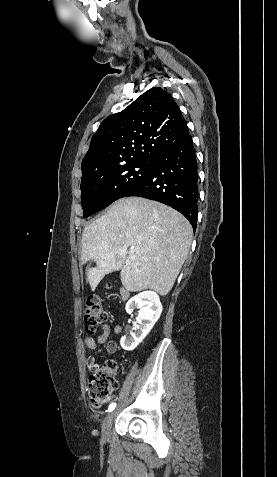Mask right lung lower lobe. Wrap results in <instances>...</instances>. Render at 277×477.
<instances>
[{
	"instance_id": "obj_1",
	"label": "right lung lower lobe",
	"mask_w": 277,
	"mask_h": 477,
	"mask_svg": "<svg viewBox=\"0 0 277 477\" xmlns=\"http://www.w3.org/2000/svg\"><path fill=\"white\" fill-rule=\"evenodd\" d=\"M159 201L182 213L196 230L198 202L197 158L191 135L152 161L145 178L124 197Z\"/></svg>"
}]
</instances>
